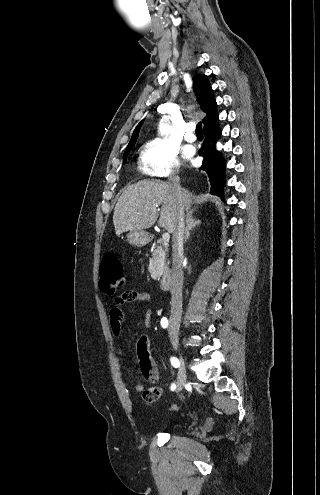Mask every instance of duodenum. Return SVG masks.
I'll return each instance as SVG.
<instances>
[{
    "label": "duodenum",
    "mask_w": 320,
    "mask_h": 495,
    "mask_svg": "<svg viewBox=\"0 0 320 495\" xmlns=\"http://www.w3.org/2000/svg\"><path fill=\"white\" fill-rule=\"evenodd\" d=\"M172 280H173L172 269L167 268L160 278V281H159L160 287L162 289H168L172 284Z\"/></svg>",
    "instance_id": "1"
}]
</instances>
